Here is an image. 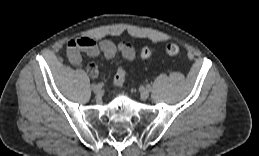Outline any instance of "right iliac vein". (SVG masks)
I'll return each mask as SVG.
<instances>
[{"instance_id": "obj_1", "label": "right iliac vein", "mask_w": 259, "mask_h": 156, "mask_svg": "<svg viewBox=\"0 0 259 156\" xmlns=\"http://www.w3.org/2000/svg\"><path fill=\"white\" fill-rule=\"evenodd\" d=\"M93 91H94L95 94H100L102 92V87L100 85H96L93 88Z\"/></svg>"}]
</instances>
